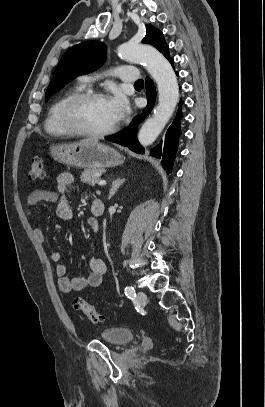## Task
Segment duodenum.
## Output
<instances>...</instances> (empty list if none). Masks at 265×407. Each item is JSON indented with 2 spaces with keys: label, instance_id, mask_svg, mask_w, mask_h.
<instances>
[{
  "label": "duodenum",
  "instance_id": "410a0bca",
  "mask_svg": "<svg viewBox=\"0 0 265 407\" xmlns=\"http://www.w3.org/2000/svg\"><path fill=\"white\" fill-rule=\"evenodd\" d=\"M104 202L100 199H95L91 205V211L95 216H101L104 213Z\"/></svg>",
  "mask_w": 265,
  "mask_h": 407
}]
</instances>
